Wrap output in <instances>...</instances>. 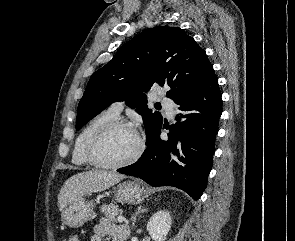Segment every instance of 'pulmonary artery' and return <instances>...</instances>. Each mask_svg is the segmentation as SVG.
Masks as SVG:
<instances>
[{
  "label": "pulmonary artery",
  "instance_id": "obj_1",
  "mask_svg": "<svg viewBox=\"0 0 295 241\" xmlns=\"http://www.w3.org/2000/svg\"><path fill=\"white\" fill-rule=\"evenodd\" d=\"M161 102L166 110L167 115L170 118H172L176 112V106L174 102L171 99L165 98V97L161 99ZM123 107H124L123 102H115L109 107V110L113 112L115 115L119 116V114L123 110Z\"/></svg>",
  "mask_w": 295,
  "mask_h": 241
}]
</instances>
